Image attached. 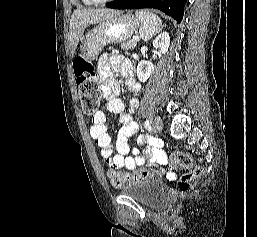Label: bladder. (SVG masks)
Listing matches in <instances>:
<instances>
[{
    "label": "bladder",
    "instance_id": "31cf9c89",
    "mask_svg": "<svg viewBox=\"0 0 257 237\" xmlns=\"http://www.w3.org/2000/svg\"><path fill=\"white\" fill-rule=\"evenodd\" d=\"M120 193L135 199L137 202L154 207L162 204L167 198V190L159 181H141L120 189Z\"/></svg>",
    "mask_w": 257,
    "mask_h": 237
}]
</instances>
